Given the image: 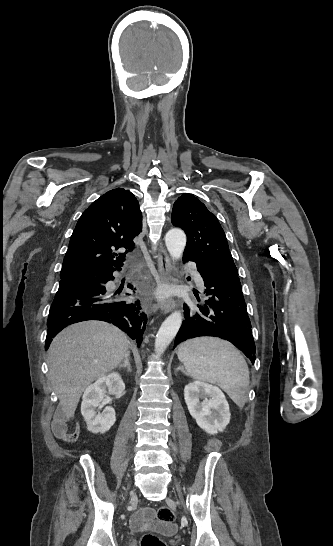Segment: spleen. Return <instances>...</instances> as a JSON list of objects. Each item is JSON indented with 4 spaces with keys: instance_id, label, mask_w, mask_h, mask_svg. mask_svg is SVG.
Masks as SVG:
<instances>
[{
    "instance_id": "spleen-1",
    "label": "spleen",
    "mask_w": 333,
    "mask_h": 546,
    "mask_svg": "<svg viewBox=\"0 0 333 546\" xmlns=\"http://www.w3.org/2000/svg\"><path fill=\"white\" fill-rule=\"evenodd\" d=\"M177 355L192 378L217 384L240 408L245 405L249 369L231 343L216 337H198L183 342Z\"/></svg>"
}]
</instances>
